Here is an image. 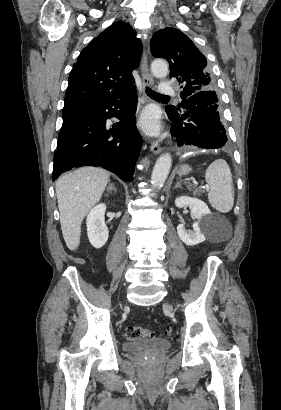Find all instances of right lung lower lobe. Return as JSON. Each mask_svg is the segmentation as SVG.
<instances>
[{
  "label": "right lung lower lobe",
  "instance_id": "obj_1",
  "mask_svg": "<svg viewBox=\"0 0 281 410\" xmlns=\"http://www.w3.org/2000/svg\"><path fill=\"white\" fill-rule=\"evenodd\" d=\"M137 93L133 86L125 93L103 100L75 119L63 123L54 155L52 179L83 165L101 166L124 181H132L142 146L136 128ZM120 120L108 128L106 120Z\"/></svg>",
  "mask_w": 281,
  "mask_h": 410
}]
</instances>
